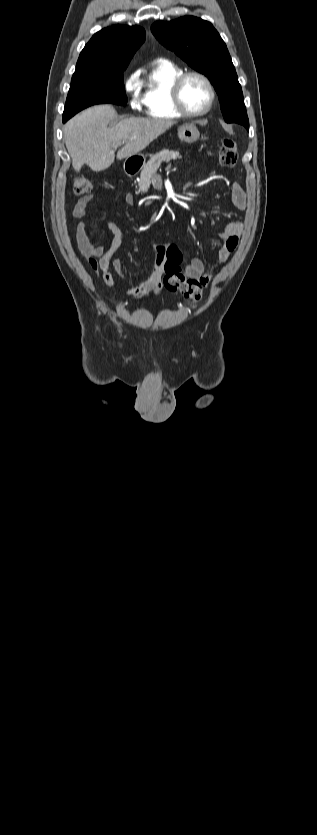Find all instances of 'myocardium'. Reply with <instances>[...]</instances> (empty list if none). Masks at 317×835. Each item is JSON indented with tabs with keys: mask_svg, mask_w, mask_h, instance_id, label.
<instances>
[{
	"mask_svg": "<svg viewBox=\"0 0 317 835\" xmlns=\"http://www.w3.org/2000/svg\"><path fill=\"white\" fill-rule=\"evenodd\" d=\"M191 77H197V78L201 79L207 85V87L209 89V92H210V99H209V102H208L207 106L203 110L198 111V112H192V111L188 110L186 108V106L184 105V102L182 100L183 87H184L186 81ZM171 96H172V100H173L175 108L183 116H186V117H200V116L206 115L211 110V108H212V106L215 102V99H216V91H215V87H214L212 81L210 80V78L208 76H206L205 74H203L201 72H198V71H187V72H183L181 75H179L175 79V81L173 82V85L171 87Z\"/></svg>",
	"mask_w": 317,
	"mask_h": 835,
	"instance_id": "f54148a6",
	"label": "myocardium"
}]
</instances>
